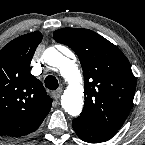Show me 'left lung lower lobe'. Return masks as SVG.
Segmentation results:
<instances>
[{
	"instance_id": "1",
	"label": "left lung lower lobe",
	"mask_w": 145,
	"mask_h": 145,
	"mask_svg": "<svg viewBox=\"0 0 145 145\" xmlns=\"http://www.w3.org/2000/svg\"><path fill=\"white\" fill-rule=\"evenodd\" d=\"M73 129L80 139L89 143H100L113 137L116 131L96 127L78 117L72 122Z\"/></svg>"
}]
</instances>
